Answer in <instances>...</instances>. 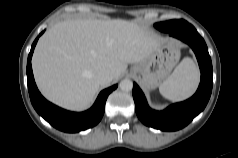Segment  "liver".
<instances>
[{"label": "liver", "instance_id": "1", "mask_svg": "<svg viewBox=\"0 0 238 158\" xmlns=\"http://www.w3.org/2000/svg\"><path fill=\"white\" fill-rule=\"evenodd\" d=\"M163 38L134 22L66 20L56 23L39 40L32 58L34 77L42 94L71 110H84L94 101L100 85L99 70L112 80L129 63L147 58Z\"/></svg>", "mask_w": 238, "mask_h": 158}]
</instances>
